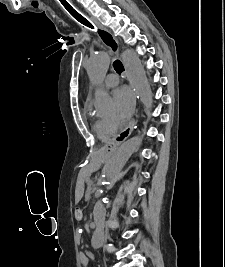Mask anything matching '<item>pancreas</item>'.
Masks as SVG:
<instances>
[{
	"label": "pancreas",
	"instance_id": "pancreas-1",
	"mask_svg": "<svg viewBox=\"0 0 225 267\" xmlns=\"http://www.w3.org/2000/svg\"><path fill=\"white\" fill-rule=\"evenodd\" d=\"M91 192H92V188H91V184H89V186H88V188L86 190V195H85V199L86 200L90 199Z\"/></svg>",
	"mask_w": 225,
	"mask_h": 267
}]
</instances>
